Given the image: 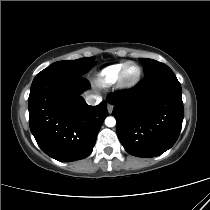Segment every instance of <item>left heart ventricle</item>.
I'll return each instance as SVG.
<instances>
[{"instance_id": "left-heart-ventricle-1", "label": "left heart ventricle", "mask_w": 210, "mask_h": 210, "mask_svg": "<svg viewBox=\"0 0 210 210\" xmlns=\"http://www.w3.org/2000/svg\"><path fill=\"white\" fill-rule=\"evenodd\" d=\"M138 73V68L135 65H129L126 69V77L128 79H133Z\"/></svg>"}]
</instances>
